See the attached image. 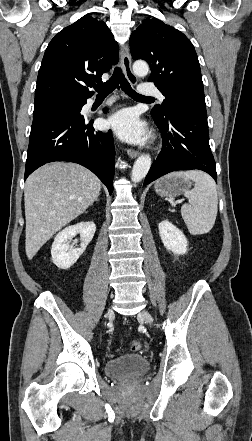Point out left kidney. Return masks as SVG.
I'll list each match as a JSON object with an SVG mask.
<instances>
[{"label":"left kidney","mask_w":252,"mask_h":441,"mask_svg":"<svg viewBox=\"0 0 252 441\" xmlns=\"http://www.w3.org/2000/svg\"><path fill=\"white\" fill-rule=\"evenodd\" d=\"M159 234L165 248L174 254L184 255L187 252V239L183 232L168 220L161 221L158 225Z\"/></svg>","instance_id":"left-kidney-1"}]
</instances>
